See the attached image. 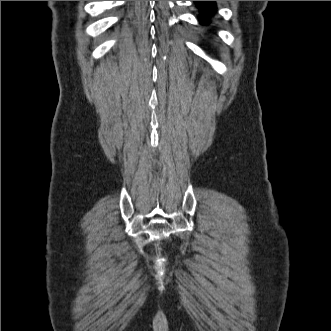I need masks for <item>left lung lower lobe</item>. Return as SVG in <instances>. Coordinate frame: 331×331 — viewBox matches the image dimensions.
Here are the masks:
<instances>
[{
    "instance_id": "left-lung-lower-lobe-1",
    "label": "left lung lower lobe",
    "mask_w": 331,
    "mask_h": 331,
    "mask_svg": "<svg viewBox=\"0 0 331 331\" xmlns=\"http://www.w3.org/2000/svg\"><path fill=\"white\" fill-rule=\"evenodd\" d=\"M197 7L201 11L202 23H206L207 20L205 19L206 16H210L215 12L216 4L215 1H194Z\"/></svg>"
}]
</instances>
